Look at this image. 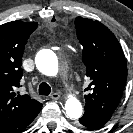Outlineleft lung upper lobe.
<instances>
[{
    "mask_svg": "<svg viewBox=\"0 0 133 133\" xmlns=\"http://www.w3.org/2000/svg\"><path fill=\"white\" fill-rule=\"evenodd\" d=\"M77 38L83 46L86 76L85 110L111 115L117 108L127 78V65L121 45L103 24L91 19H75Z\"/></svg>",
    "mask_w": 133,
    "mask_h": 133,
    "instance_id": "obj_1",
    "label": "left lung upper lobe"
}]
</instances>
